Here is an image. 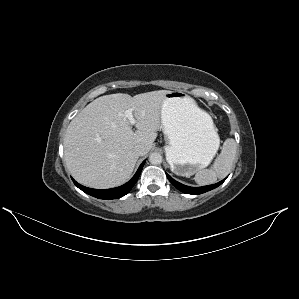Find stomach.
<instances>
[{
	"label": "stomach",
	"mask_w": 299,
	"mask_h": 299,
	"mask_svg": "<svg viewBox=\"0 0 299 299\" xmlns=\"http://www.w3.org/2000/svg\"><path fill=\"white\" fill-rule=\"evenodd\" d=\"M161 128L171 171L189 177L215 156L220 139L213 120L195 100L181 91H170L162 101Z\"/></svg>",
	"instance_id": "obj_1"
}]
</instances>
